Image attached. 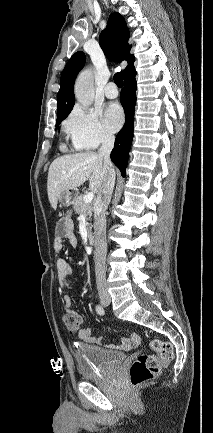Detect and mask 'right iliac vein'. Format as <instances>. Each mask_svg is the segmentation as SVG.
I'll return each mask as SVG.
<instances>
[{
	"instance_id": "1",
	"label": "right iliac vein",
	"mask_w": 213,
	"mask_h": 433,
	"mask_svg": "<svg viewBox=\"0 0 213 433\" xmlns=\"http://www.w3.org/2000/svg\"><path fill=\"white\" fill-rule=\"evenodd\" d=\"M100 300H101V303L104 304V305L110 303V297L107 294H101L100 295Z\"/></svg>"
}]
</instances>
